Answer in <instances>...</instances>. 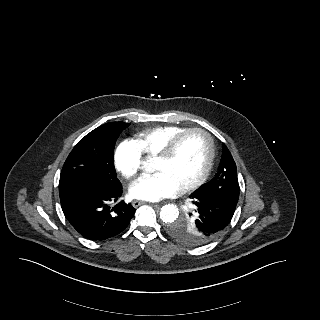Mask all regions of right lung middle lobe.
Listing matches in <instances>:
<instances>
[{
  "label": "right lung middle lobe",
  "mask_w": 320,
  "mask_h": 320,
  "mask_svg": "<svg viewBox=\"0 0 320 320\" xmlns=\"http://www.w3.org/2000/svg\"><path fill=\"white\" fill-rule=\"evenodd\" d=\"M129 125L109 122L83 137L63 165L59 190L108 188L120 184L114 168V148L120 133Z\"/></svg>",
  "instance_id": "dd1d6c3e"
}]
</instances>
